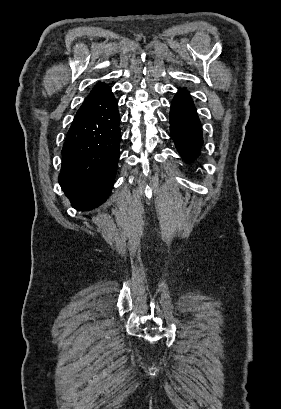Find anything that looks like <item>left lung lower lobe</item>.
Listing matches in <instances>:
<instances>
[{
    "label": "left lung lower lobe",
    "instance_id": "obj_1",
    "mask_svg": "<svg viewBox=\"0 0 281 409\" xmlns=\"http://www.w3.org/2000/svg\"><path fill=\"white\" fill-rule=\"evenodd\" d=\"M170 135L186 163L195 161L203 144L202 127L189 92L179 89L171 103Z\"/></svg>",
    "mask_w": 281,
    "mask_h": 409
}]
</instances>
